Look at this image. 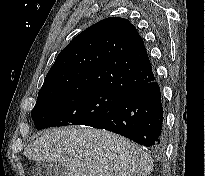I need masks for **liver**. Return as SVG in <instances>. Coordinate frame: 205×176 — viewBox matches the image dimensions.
<instances>
[{"label": "liver", "instance_id": "liver-1", "mask_svg": "<svg viewBox=\"0 0 205 176\" xmlns=\"http://www.w3.org/2000/svg\"><path fill=\"white\" fill-rule=\"evenodd\" d=\"M32 161L59 162L68 176H149L152 158L128 139L100 129H50L30 143Z\"/></svg>", "mask_w": 205, "mask_h": 176}]
</instances>
